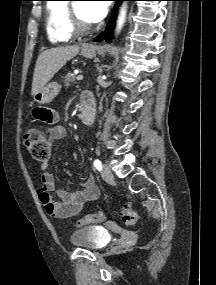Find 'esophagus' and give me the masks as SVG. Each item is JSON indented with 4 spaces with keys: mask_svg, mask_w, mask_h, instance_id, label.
<instances>
[{
    "mask_svg": "<svg viewBox=\"0 0 216 285\" xmlns=\"http://www.w3.org/2000/svg\"><path fill=\"white\" fill-rule=\"evenodd\" d=\"M92 47H93L92 45H87V46H86V48H92Z\"/></svg>",
    "mask_w": 216,
    "mask_h": 285,
    "instance_id": "esophagus-1",
    "label": "esophagus"
}]
</instances>
